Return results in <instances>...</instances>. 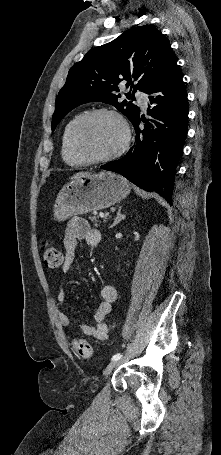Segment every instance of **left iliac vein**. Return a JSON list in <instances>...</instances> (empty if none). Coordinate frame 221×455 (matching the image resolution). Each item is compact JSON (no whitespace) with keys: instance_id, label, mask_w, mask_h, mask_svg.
Returning <instances> with one entry per match:
<instances>
[{"instance_id":"4c4485c4","label":"left iliac vein","mask_w":221,"mask_h":455,"mask_svg":"<svg viewBox=\"0 0 221 455\" xmlns=\"http://www.w3.org/2000/svg\"><path fill=\"white\" fill-rule=\"evenodd\" d=\"M120 364V360H114L110 362L104 370V376H107L111 371Z\"/></svg>"}]
</instances>
